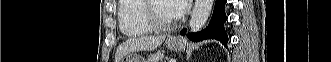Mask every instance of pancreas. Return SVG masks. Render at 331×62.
Here are the masks:
<instances>
[{
	"mask_svg": "<svg viewBox=\"0 0 331 62\" xmlns=\"http://www.w3.org/2000/svg\"><path fill=\"white\" fill-rule=\"evenodd\" d=\"M163 59L162 54H153L150 56L148 62H161Z\"/></svg>",
	"mask_w": 331,
	"mask_h": 62,
	"instance_id": "obj_1",
	"label": "pancreas"
}]
</instances>
